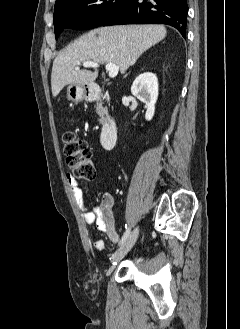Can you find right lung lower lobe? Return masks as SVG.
<instances>
[{
  "label": "right lung lower lobe",
  "instance_id": "obj_1",
  "mask_svg": "<svg viewBox=\"0 0 240 329\" xmlns=\"http://www.w3.org/2000/svg\"><path fill=\"white\" fill-rule=\"evenodd\" d=\"M187 0H125L101 25L168 24L186 38Z\"/></svg>",
  "mask_w": 240,
  "mask_h": 329
}]
</instances>
